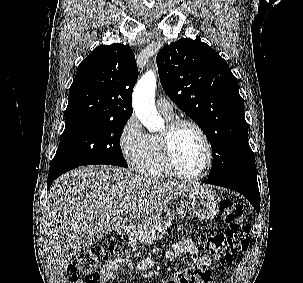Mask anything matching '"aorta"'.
Instances as JSON below:
<instances>
[{"label":"aorta","mask_w":303,"mask_h":283,"mask_svg":"<svg viewBox=\"0 0 303 283\" xmlns=\"http://www.w3.org/2000/svg\"><path fill=\"white\" fill-rule=\"evenodd\" d=\"M156 76L152 71L145 73L137 82L132 98L133 109L149 132H157L163 120L155 107Z\"/></svg>","instance_id":"762f6f07"}]
</instances>
